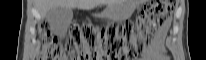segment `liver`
Wrapping results in <instances>:
<instances>
[{
  "label": "liver",
  "instance_id": "obj_1",
  "mask_svg": "<svg viewBox=\"0 0 206 60\" xmlns=\"http://www.w3.org/2000/svg\"><path fill=\"white\" fill-rule=\"evenodd\" d=\"M94 0H37V8L42 16L55 7L74 8L91 4Z\"/></svg>",
  "mask_w": 206,
  "mask_h": 60
}]
</instances>
